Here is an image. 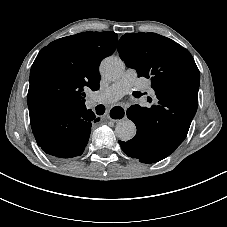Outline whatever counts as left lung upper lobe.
Instances as JSON below:
<instances>
[{
    "mask_svg": "<svg viewBox=\"0 0 227 227\" xmlns=\"http://www.w3.org/2000/svg\"><path fill=\"white\" fill-rule=\"evenodd\" d=\"M118 52L125 64L136 69L140 77L151 79L159 100L151 108H179L178 112L185 120L194 117L200 73L187 49L156 33H126L119 41ZM162 134L175 142L183 137L182 134L174 135L168 128Z\"/></svg>",
    "mask_w": 227,
    "mask_h": 227,
    "instance_id": "obj_1",
    "label": "left lung upper lobe"
}]
</instances>
